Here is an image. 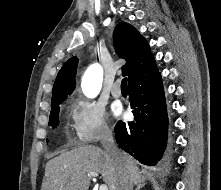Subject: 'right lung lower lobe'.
<instances>
[{
    "instance_id": "obj_1",
    "label": "right lung lower lobe",
    "mask_w": 221,
    "mask_h": 190,
    "mask_svg": "<svg viewBox=\"0 0 221 190\" xmlns=\"http://www.w3.org/2000/svg\"><path fill=\"white\" fill-rule=\"evenodd\" d=\"M134 121H119L115 138L119 147L140 163L156 165L168 153V113L161 74L129 86Z\"/></svg>"
}]
</instances>
